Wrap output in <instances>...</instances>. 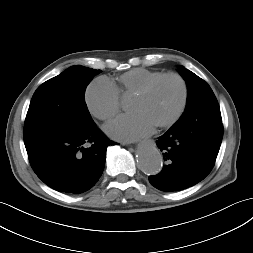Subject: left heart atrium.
Here are the masks:
<instances>
[{
  "label": "left heart atrium",
  "mask_w": 253,
  "mask_h": 253,
  "mask_svg": "<svg viewBox=\"0 0 253 253\" xmlns=\"http://www.w3.org/2000/svg\"><path fill=\"white\" fill-rule=\"evenodd\" d=\"M155 125L142 113L120 116L110 122L106 132L113 138L122 141H133L151 134Z\"/></svg>",
  "instance_id": "1"
}]
</instances>
